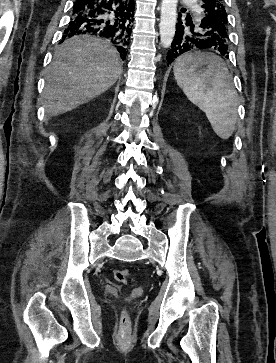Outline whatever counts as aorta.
<instances>
[{"label": "aorta", "instance_id": "obj_1", "mask_svg": "<svg viewBox=\"0 0 276 363\" xmlns=\"http://www.w3.org/2000/svg\"><path fill=\"white\" fill-rule=\"evenodd\" d=\"M178 0H162L160 18V41L169 48L175 35Z\"/></svg>", "mask_w": 276, "mask_h": 363}]
</instances>
